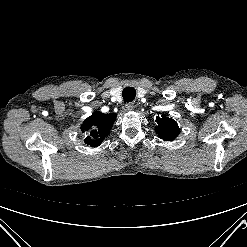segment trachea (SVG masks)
Instances as JSON below:
<instances>
[{
	"mask_svg": "<svg viewBox=\"0 0 247 247\" xmlns=\"http://www.w3.org/2000/svg\"><path fill=\"white\" fill-rule=\"evenodd\" d=\"M136 96V91L133 87H126L122 91V97L124 102H131Z\"/></svg>",
	"mask_w": 247,
	"mask_h": 247,
	"instance_id": "obj_1",
	"label": "trachea"
}]
</instances>
